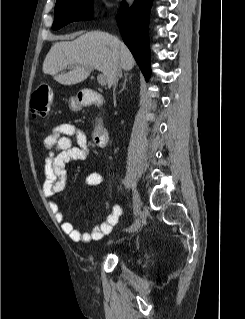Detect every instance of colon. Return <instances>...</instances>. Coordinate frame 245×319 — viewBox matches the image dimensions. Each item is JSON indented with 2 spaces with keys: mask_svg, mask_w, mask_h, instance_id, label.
I'll return each mask as SVG.
<instances>
[{
  "mask_svg": "<svg viewBox=\"0 0 245 319\" xmlns=\"http://www.w3.org/2000/svg\"><path fill=\"white\" fill-rule=\"evenodd\" d=\"M52 102V91L46 84L40 85L31 97V112L35 118H45Z\"/></svg>",
  "mask_w": 245,
  "mask_h": 319,
  "instance_id": "5ec220e1",
  "label": "colon"
}]
</instances>
